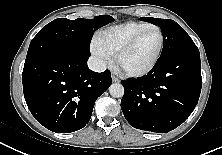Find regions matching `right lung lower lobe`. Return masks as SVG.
<instances>
[{"label":"right lung lower lobe","instance_id":"obj_1","mask_svg":"<svg viewBox=\"0 0 222 155\" xmlns=\"http://www.w3.org/2000/svg\"><path fill=\"white\" fill-rule=\"evenodd\" d=\"M89 55L55 52L24 64L22 82L26 103L35 119L57 133L83 128L96 99L112 84L108 70L87 66Z\"/></svg>","mask_w":222,"mask_h":155}]
</instances>
